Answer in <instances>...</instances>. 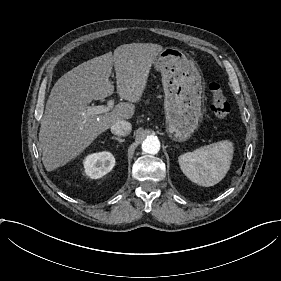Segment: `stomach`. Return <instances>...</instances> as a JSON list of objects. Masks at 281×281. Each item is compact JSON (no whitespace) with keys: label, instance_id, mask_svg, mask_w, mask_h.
I'll return each instance as SVG.
<instances>
[{"label":"stomach","instance_id":"1","mask_svg":"<svg viewBox=\"0 0 281 281\" xmlns=\"http://www.w3.org/2000/svg\"><path fill=\"white\" fill-rule=\"evenodd\" d=\"M154 67L162 76L167 133L174 141H187L203 118L205 85L201 70L176 47L163 49Z\"/></svg>","mask_w":281,"mask_h":281}]
</instances>
